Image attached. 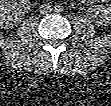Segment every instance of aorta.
Segmentation results:
<instances>
[{
    "label": "aorta",
    "mask_w": 111,
    "mask_h": 106,
    "mask_svg": "<svg viewBox=\"0 0 111 106\" xmlns=\"http://www.w3.org/2000/svg\"><path fill=\"white\" fill-rule=\"evenodd\" d=\"M55 11L56 12H62L63 11V6L62 5H56L55 6Z\"/></svg>",
    "instance_id": "aorta-1"
}]
</instances>
